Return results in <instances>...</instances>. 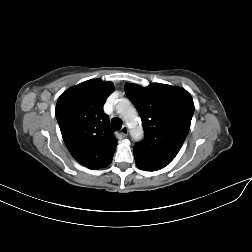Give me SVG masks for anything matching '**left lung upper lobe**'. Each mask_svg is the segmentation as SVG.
Instances as JSON below:
<instances>
[{
	"label": "left lung upper lobe",
	"instance_id": "5c2ea615",
	"mask_svg": "<svg viewBox=\"0 0 252 252\" xmlns=\"http://www.w3.org/2000/svg\"><path fill=\"white\" fill-rule=\"evenodd\" d=\"M125 92L142 120L144 140L135 147L172 161L182 147L194 113L191 95L182 88L153 83L127 84Z\"/></svg>",
	"mask_w": 252,
	"mask_h": 252
}]
</instances>
